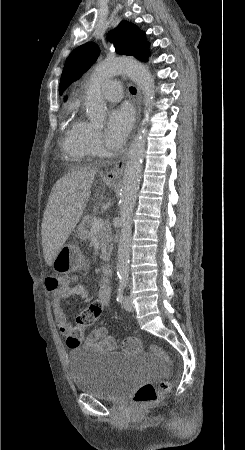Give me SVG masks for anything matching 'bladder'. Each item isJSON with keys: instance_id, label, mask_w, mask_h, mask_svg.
I'll return each instance as SVG.
<instances>
[{"instance_id": "obj_1", "label": "bladder", "mask_w": 245, "mask_h": 450, "mask_svg": "<svg viewBox=\"0 0 245 450\" xmlns=\"http://www.w3.org/2000/svg\"><path fill=\"white\" fill-rule=\"evenodd\" d=\"M69 371L79 393L117 401L146 376L139 355L78 348L68 352Z\"/></svg>"}]
</instances>
